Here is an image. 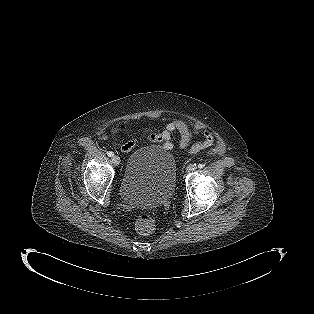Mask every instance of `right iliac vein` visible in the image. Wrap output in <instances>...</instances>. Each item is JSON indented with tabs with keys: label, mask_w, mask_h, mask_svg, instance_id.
Here are the masks:
<instances>
[{
	"label": "right iliac vein",
	"mask_w": 314,
	"mask_h": 314,
	"mask_svg": "<svg viewBox=\"0 0 314 314\" xmlns=\"http://www.w3.org/2000/svg\"><path fill=\"white\" fill-rule=\"evenodd\" d=\"M112 163L116 166L119 165L120 158L118 156H112Z\"/></svg>",
	"instance_id": "63e3f726"
}]
</instances>
